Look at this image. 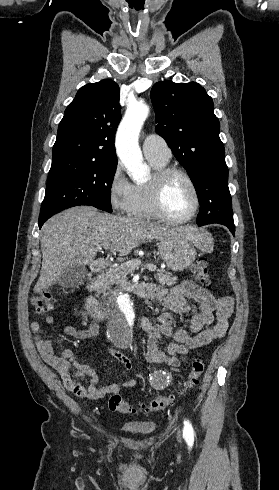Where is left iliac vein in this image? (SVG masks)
<instances>
[{
	"label": "left iliac vein",
	"instance_id": "obj_1",
	"mask_svg": "<svg viewBox=\"0 0 279 490\" xmlns=\"http://www.w3.org/2000/svg\"><path fill=\"white\" fill-rule=\"evenodd\" d=\"M178 439L180 440V435H178Z\"/></svg>",
	"mask_w": 279,
	"mask_h": 490
}]
</instances>
